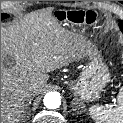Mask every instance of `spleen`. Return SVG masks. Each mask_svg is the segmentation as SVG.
I'll return each mask as SVG.
<instances>
[{
	"mask_svg": "<svg viewBox=\"0 0 123 123\" xmlns=\"http://www.w3.org/2000/svg\"><path fill=\"white\" fill-rule=\"evenodd\" d=\"M118 105L114 109H108L102 105H94L89 108V113L96 123H123V86L117 96Z\"/></svg>",
	"mask_w": 123,
	"mask_h": 123,
	"instance_id": "spleen-1",
	"label": "spleen"
}]
</instances>
